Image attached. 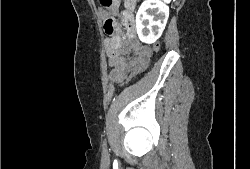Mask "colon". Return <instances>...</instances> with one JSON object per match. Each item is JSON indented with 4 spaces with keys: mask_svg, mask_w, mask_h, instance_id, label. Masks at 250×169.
<instances>
[{
    "mask_svg": "<svg viewBox=\"0 0 250 169\" xmlns=\"http://www.w3.org/2000/svg\"><path fill=\"white\" fill-rule=\"evenodd\" d=\"M101 5L105 8H114L117 6L118 2L116 0H101ZM117 27V23L113 20H108L105 24V30L108 33H112ZM160 43L159 41H155L150 49V53H147V59L138 65L133 72H130L129 78H126V81H123V86H131V80H134V77H137V74H142V72H146L149 69V63L152 58L159 52Z\"/></svg>",
    "mask_w": 250,
    "mask_h": 169,
    "instance_id": "1",
    "label": "colon"
}]
</instances>
